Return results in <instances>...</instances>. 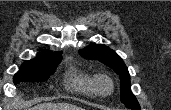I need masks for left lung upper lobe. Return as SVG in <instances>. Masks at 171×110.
I'll use <instances>...</instances> for the list:
<instances>
[{
  "label": "left lung upper lobe",
  "instance_id": "5c2ea615",
  "mask_svg": "<svg viewBox=\"0 0 171 110\" xmlns=\"http://www.w3.org/2000/svg\"><path fill=\"white\" fill-rule=\"evenodd\" d=\"M86 59L99 60L111 67L120 78L121 82V101L133 110H139L140 106L136 97L131 92L130 75L123 60L109 47L103 44L92 43L88 47L79 51Z\"/></svg>",
  "mask_w": 171,
  "mask_h": 110
}]
</instances>
